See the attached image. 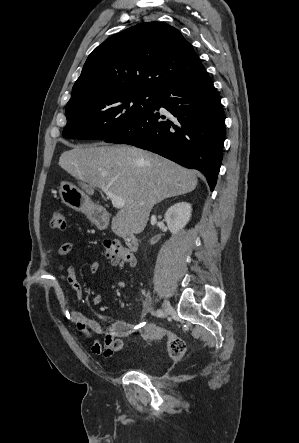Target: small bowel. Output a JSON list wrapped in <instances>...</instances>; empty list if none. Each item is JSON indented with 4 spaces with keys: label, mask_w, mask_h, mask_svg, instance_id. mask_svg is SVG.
<instances>
[{
    "label": "small bowel",
    "mask_w": 299,
    "mask_h": 443,
    "mask_svg": "<svg viewBox=\"0 0 299 443\" xmlns=\"http://www.w3.org/2000/svg\"><path fill=\"white\" fill-rule=\"evenodd\" d=\"M72 248L73 245L71 243H64L58 248L57 254L63 257ZM88 266L91 273H97L100 265L97 260L90 259ZM58 276L59 282L54 287L57 301L61 307L68 310L80 337L90 343L93 354L113 358L116 353L124 348L122 337L136 333V326L125 321H110L105 325H101L99 322L88 318L69 303L66 294L65 286L68 285L74 293L75 300H81L83 295L82 286L77 279L74 267L64 263L59 264ZM149 312H151V301L147 299L143 305L141 321ZM93 335H103V342L93 338Z\"/></svg>",
    "instance_id": "obj_1"
}]
</instances>
